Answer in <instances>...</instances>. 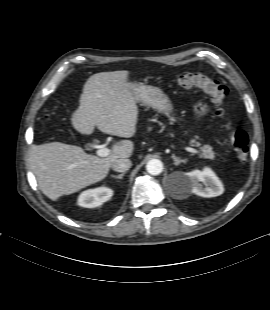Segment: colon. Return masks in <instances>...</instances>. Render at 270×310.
Here are the masks:
<instances>
[{"label": "colon", "instance_id": "1", "mask_svg": "<svg viewBox=\"0 0 270 310\" xmlns=\"http://www.w3.org/2000/svg\"><path fill=\"white\" fill-rule=\"evenodd\" d=\"M176 83L184 88H199L216 106V114L225 122L229 140L238 159L242 162L249 157V138L245 131L234 127L227 109L228 89L215 78L201 72H185L177 76Z\"/></svg>", "mask_w": 270, "mask_h": 310}]
</instances>
